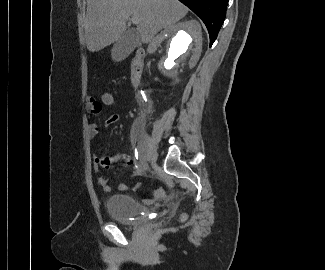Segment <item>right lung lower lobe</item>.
<instances>
[{
    "label": "right lung lower lobe",
    "instance_id": "obj_1",
    "mask_svg": "<svg viewBox=\"0 0 325 270\" xmlns=\"http://www.w3.org/2000/svg\"><path fill=\"white\" fill-rule=\"evenodd\" d=\"M190 8L206 25L210 46L215 41L226 16L229 0H179Z\"/></svg>",
    "mask_w": 325,
    "mask_h": 270
}]
</instances>
